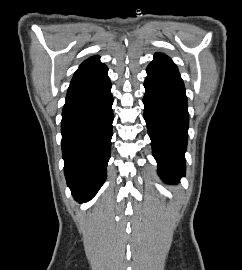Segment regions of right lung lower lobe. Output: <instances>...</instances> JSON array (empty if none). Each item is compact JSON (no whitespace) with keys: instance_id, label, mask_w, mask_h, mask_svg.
<instances>
[{"instance_id":"right-lung-lower-lobe-1","label":"right lung lower lobe","mask_w":242,"mask_h":270,"mask_svg":"<svg viewBox=\"0 0 242 270\" xmlns=\"http://www.w3.org/2000/svg\"><path fill=\"white\" fill-rule=\"evenodd\" d=\"M108 68L100 61L74 74L62 111L64 173L79 202L95 196L106 179L114 119Z\"/></svg>"}]
</instances>
